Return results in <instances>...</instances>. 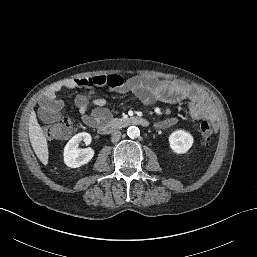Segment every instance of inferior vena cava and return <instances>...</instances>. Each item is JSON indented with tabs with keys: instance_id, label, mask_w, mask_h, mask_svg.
Instances as JSON below:
<instances>
[{
	"instance_id": "obj_1",
	"label": "inferior vena cava",
	"mask_w": 257,
	"mask_h": 257,
	"mask_svg": "<svg viewBox=\"0 0 257 257\" xmlns=\"http://www.w3.org/2000/svg\"><path fill=\"white\" fill-rule=\"evenodd\" d=\"M121 138V132L119 130H115L111 134V141L117 142Z\"/></svg>"
}]
</instances>
